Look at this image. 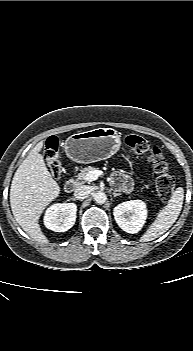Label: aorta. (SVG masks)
Instances as JSON below:
<instances>
[{
  "label": "aorta",
  "instance_id": "762f6f07",
  "mask_svg": "<svg viewBox=\"0 0 193 351\" xmlns=\"http://www.w3.org/2000/svg\"><path fill=\"white\" fill-rule=\"evenodd\" d=\"M94 201L98 204H103L107 200V196L104 192L102 191H97L93 195Z\"/></svg>",
  "mask_w": 193,
  "mask_h": 351
}]
</instances>
